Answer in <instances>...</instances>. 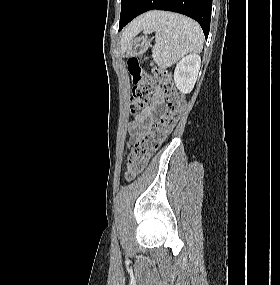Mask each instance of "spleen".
Masks as SVG:
<instances>
[{
  "label": "spleen",
  "instance_id": "1",
  "mask_svg": "<svg viewBox=\"0 0 280 285\" xmlns=\"http://www.w3.org/2000/svg\"><path fill=\"white\" fill-rule=\"evenodd\" d=\"M143 30L145 34L155 32L152 57L163 69L203 48L202 29L198 23L183 15L156 11Z\"/></svg>",
  "mask_w": 280,
  "mask_h": 285
}]
</instances>
